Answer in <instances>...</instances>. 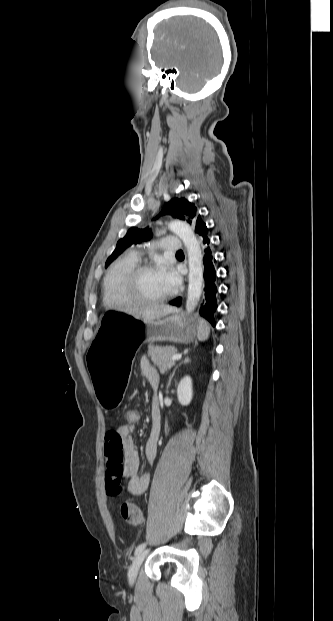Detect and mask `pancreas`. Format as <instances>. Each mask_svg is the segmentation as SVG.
<instances>
[{
  "label": "pancreas",
  "mask_w": 333,
  "mask_h": 621,
  "mask_svg": "<svg viewBox=\"0 0 333 621\" xmlns=\"http://www.w3.org/2000/svg\"><path fill=\"white\" fill-rule=\"evenodd\" d=\"M175 354H177V350L172 346L151 345L148 350V356L160 372H166L174 366L175 362L171 361L170 358Z\"/></svg>",
  "instance_id": "1"
}]
</instances>
